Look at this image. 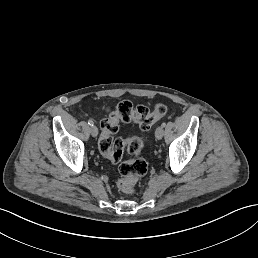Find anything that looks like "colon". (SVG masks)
Wrapping results in <instances>:
<instances>
[{
    "label": "colon",
    "instance_id": "5ec220e1",
    "mask_svg": "<svg viewBox=\"0 0 258 258\" xmlns=\"http://www.w3.org/2000/svg\"><path fill=\"white\" fill-rule=\"evenodd\" d=\"M167 111L168 108L163 103H158L150 109L143 105L134 107L131 102L122 101L108 117L101 121L99 150L110 161L119 163L116 185L123 193L135 192L137 181L146 174L148 165L140 156L143 144L138 137L127 140L114 137L118 132L119 123L134 122L142 130H148L156 121L165 117ZM124 152H127L131 158L120 163Z\"/></svg>",
    "mask_w": 258,
    "mask_h": 258
}]
</instances>
